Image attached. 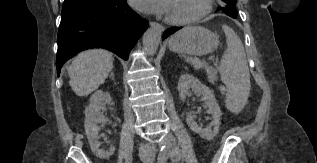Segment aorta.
<instances>
[{"instance_id": "1", "label": "aorta", "mask_w": 317, "mask_h": 163, "mask_svg": "<svg viewBox=\"0 0 317 163\" xmlns=\"http://www.w3.org/2000/svg\"><path fill=\"white\" fill-rule=\"evenodd\" d=\"M161 41V31L157 26L149 28L143 35V47L149 55H154Z\"/></svg>"}]
</instances>
